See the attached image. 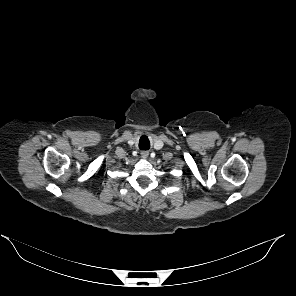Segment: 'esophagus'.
Masks as SVG:
<instances>
[{"mask_svg": "<svg viewBox=\"0 0 296 296\" xmlns=\"http://www.w3.org/2000/svg\"><path fill=\"white\" fill-rule=\"evenodd\" d=\"M148 155H149V153H148L147 151H142V152H141V156H142L143 158H147Z\"/></svg>", "mask_w": 296, "mask_h": 296, "instance_id": "1", "label": "esophagus"}]
</instances>
